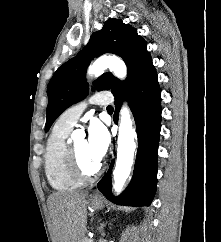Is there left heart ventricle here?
<instances>
[{
	"label": "left heart ventricle",
	"mask_w": 221,
	"mask_h": 242,
	"mask_svg": "<svg viewBox=\"0 0 221 242\" xmlns=\"http://www.w3.org/2000/svg\"><path fill=\"white\" fill-rule=\"evenodd\" d=\"M72 147L75 149L82 166L86 170H92L96 167L98 162L90 156L86 140H79L75 142Z\"/></svg>",
	"instance_id": "obj_1"
}]
</instances>
